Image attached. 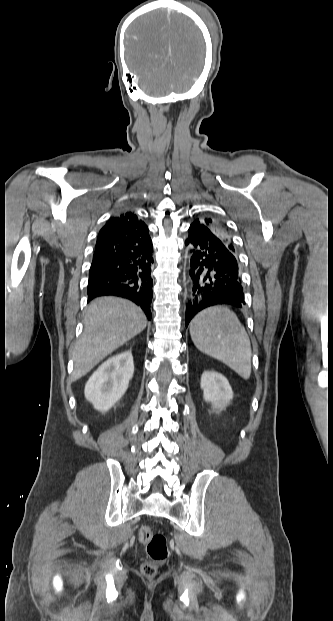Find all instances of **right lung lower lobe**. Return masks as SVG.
Returning a JSON list of instances; mask_svg holds the SVG:
<instances>
[{
	"mask_svg": "<svg viewBox=\"0 0 333 621\" xmlns=\"http://www.w3.org/2000/svg\"><path fill=\"white\" fill-rule=\"evenodd\" d=\"M153 246L126 249L106 245L95 248L89 271L88 301L100 296H119L135 302L151 319V265Z\"/></svg>",
	"mask_w": 333,
	"mask_h": 621,
	"instance_id": "right-lung-lower-lobe-1",
	"label": "right lung lower lobe"
}]
</instances>
